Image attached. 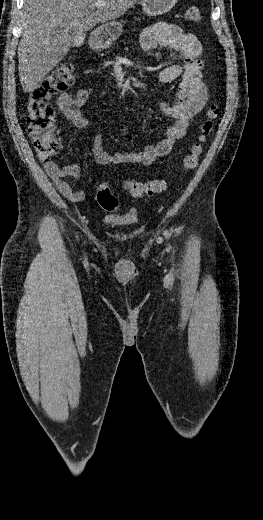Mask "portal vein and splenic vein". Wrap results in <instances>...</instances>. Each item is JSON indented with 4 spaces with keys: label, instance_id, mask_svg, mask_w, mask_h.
I'll list each match as a JSON object with an SVG mask.
<instances>
[{
    "label": "portal vein and splenic vein",
    "instance_id": "1",
    "mask_svg": "<svg viewBox=\"0 0 263 520\" xmlns=\"http://www.w3.org/2000/svg\"><path fill=\"white\" fill-rule=\"evenodd\" d=\"M96 7H101L104 5V3H102L101 1H97L95 4H94Z\"/></svg>",
    "mask_w": 263,
    "mask_h": 520
}]
</instances>
